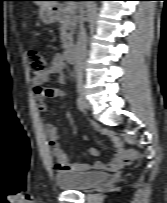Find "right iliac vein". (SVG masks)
<instances>
[{"mask_svg": "<svg viewBox=\"0 0 167 203\" xmlns=\"http://www.w3.org/2000/svg\"><path fill=\"white\" fill-rule=\"evenodd\" d=\"M78 94L81 97V99L83 100L85 107H88L89 103L85 98V91H84V88L82 86H78Z\"/></svg>", "mask_w": 167, "mask_h": 203, "instance_id": "1", "label": "right iliac vein"}]
</instances>
